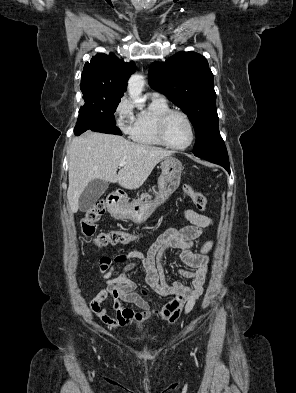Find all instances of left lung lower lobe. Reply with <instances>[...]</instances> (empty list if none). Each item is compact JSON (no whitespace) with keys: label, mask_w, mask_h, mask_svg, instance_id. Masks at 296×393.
<instances>
[{"label":"left lung lower lobe","mask_w":296,"mask_h":393,"mask_svg":"<svg viewBox=\"0 0 296 393\" xmlns=\"http://www.w3.org/2000/svg\"><path fill=\"white\" fill-rule=\"evenodd\" d=\"M197 157L221 165L230 174V165H229V158L227 153L208 154V155L197 156Z\"/></svg>","instance_id":"0a47b994"}]
</instances>
